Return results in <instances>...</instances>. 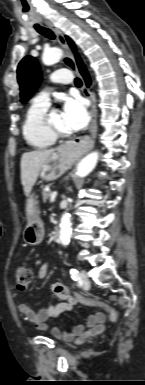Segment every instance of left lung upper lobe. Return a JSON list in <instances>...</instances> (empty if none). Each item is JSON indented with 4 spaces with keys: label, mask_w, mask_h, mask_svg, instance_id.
Returning <instances> with one entry per match:
<instances>
[{
    "label": "left lung upper lobe",
    "mask_w": 145,
    "mask_h": 385,
    "mask_svg": "<svg viewBox=\"0 0 145 385\" xmlns=\"http://www.w3.org/2000/svg\"><path fill=\"white\" fill-rule=\"evenodd\" d=\"M18 83L21 102L27 101L41 82V72L37 60L31 56L24 57L18 65Z\"/></svg>",
    "instance_id": "obj_1"
}]
</instances>
